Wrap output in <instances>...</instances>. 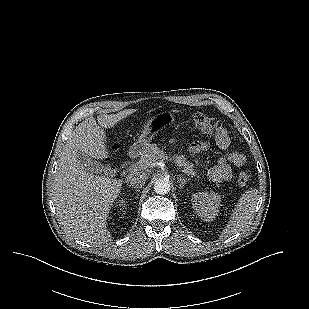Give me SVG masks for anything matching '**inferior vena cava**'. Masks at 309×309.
<instances>
[{"label": "inferior vena cava", "mask_w": 309, "mask_h": 309, "mask_svg": "<svg viewBox=\"0 0 309 309\" xmlns=\"http://www.w3.org/2000/svg\"><path fill=\"white\" fill-rule=\"evenodd\" d=\"M147 180V175L141 170H134L128 174L125 178V181L130 186H141Z\"/></svg>", "instance_id": "1"}]
</instances>
